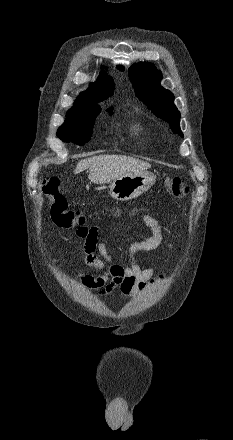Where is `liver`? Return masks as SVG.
I'll list each match as a JSON object with an SVG mask.
<instances>
[{
	"label": "liver",
	"instance_id": "obj_1",
	"mask_svg": "<svg viewBox=\"0 0 233 440\" xmlns=\"http://www.w3.org/2000/svg\"><path fill=\"white\" fill-rule=\"evenodd\" d=\"M88 168L90 170L89 180L95 184H104L132 173L147 171L151 165L124 155H99L79 161L74 174L81 173Z\"/></svg>",
	"mask_w": 233,
	"mask_h": 440
}]
</instances>
